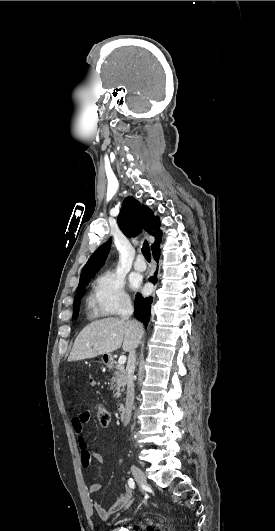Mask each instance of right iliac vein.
Listing matches in <instances>:
<instances>
[{"mask_svg":"<svg viewBox=\"0 0 275 531\" xmlns=\"http://www.w3.org/2000/svg\"><path fill=\"white\" fill-rule=\"evenodd\" d=\"M131 472L140 486H144L147 484L146 476L139 467H137L136 465H132Z\"/></svg>","mask_w":275,"mask_h":531,"instance_id":"1","label":"right iliac vein"}]
</instances>
